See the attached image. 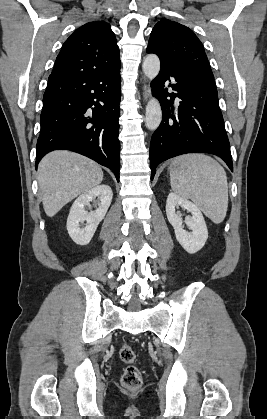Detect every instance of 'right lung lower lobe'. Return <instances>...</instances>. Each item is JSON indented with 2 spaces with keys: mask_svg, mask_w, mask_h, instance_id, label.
<instances>
[{
  "mask_svg": "<svg viewBox=\"0 0 267 419\" xmlns=\"http://www.w3.org/2000/svg\"><path fill=\"white\" fill-rule=\"evenodd\" d=\"M120 67L49 76L36 167L48 152L67 149L108 167L119 181Z\"/></svg>",
  "mask_w": 267,
  "mask_h": 419,
  "instance_id": "98d812e1",
  "label": "right lung lower lobe"
}]
</instances>
